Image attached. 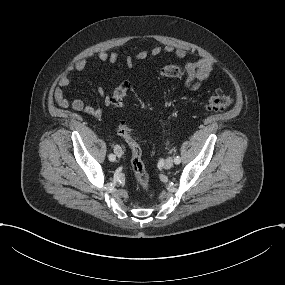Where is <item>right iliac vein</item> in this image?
Returning a JSON list of instances; mask_svg holds the SVG:
<instances>
[{
    "instance_id": "1",
    "label": "right iliac vein",
    "mask_w": 285,
    "mask_h": 285,
    "mask_svg": "<svg viewBox=\"0 0 285 285\" xmlns=\"http://www.w3.org/2000/svg\"><path fill=\"white\" fill-rule=\"evenodd\" d=\"M114 152H115V154H116V156L117 157H121L122 156V149H121V147L119 146V145H116L115 147H114Z\"/></svg>"
}]
</instances>
